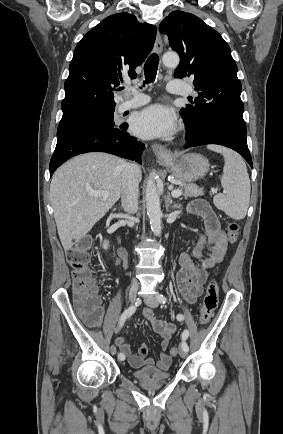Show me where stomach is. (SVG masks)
Listing matches in <instances>:
<instances>
[{"mask_svg":"<svg viewBox=\"0 0 283 434\" xmlns=\"http://www.w3.org/2000/svg\"><path fill=\"white\" fill-rule=\"evenodd\" d=\"M162 162L170 169L174 177L188 183L204 177L208 173L210 166L208 159L196 153L173 157Z\"/></svg>","mask_w":283,"mask_h":434,"instance_id":"stomach-1","label":"stomach"}]
</instances>
